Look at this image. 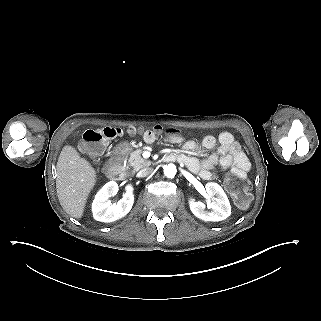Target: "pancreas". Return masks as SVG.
Returning <instances> with one entry per match:
<instances>
[{
	"mask_svg": "<svg viewBox=\"0 0 321 321\" xmlns=\"http://www.w3.org/2000/svg\"><path fill=\"white\" fill-rule=\"evenodd\" d=\"M143 150L137 149L134 152H132L128 159V166L132 167L134 171H138L141 168H146L152 164L151 161H148L141 157Z\"/></svg>",
	"mask_w": 321,
	"mask_h": 321,
	"instance_id": "cf45deb5",
	"label": "pancreas"
}]
</instances>
